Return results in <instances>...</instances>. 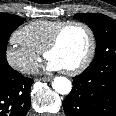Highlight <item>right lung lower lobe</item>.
Listing matches in <instances>:
<instances>
[{
  "label": "right lung lower lobe",
  "instance_id": "1",
  "mask_svg": "<svg viewBox=\"0 0 116 116\" xmlns=\"http://www.w3.org/2000/svg\"><path fill=\"white\" fill-rule=\"evenodd\" d=\"M33 80L15 73L0 79V116H25L30 109V88Z\"/></svg>",
  "mask_w": 116,
  "mask_h": 116
}]
</instances>
